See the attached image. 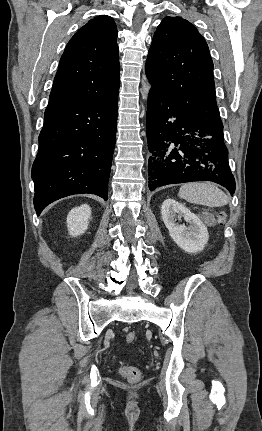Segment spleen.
Wrapping results in <instances>:
<instances>
[{"label": "spleen", "instance_id": "1", "mask_svg": "<svg viewBox=\"0 0 262 431\" xmlns=\"http://www.w3.org/2000/svg\"><path fill=\"white\" fill-rule=\"evenodd\" d=\"M178 196L187 202L209 207H222L228 204L227 195L209 182H193L181 186Z\"/></svg>", "mask_w": 262, "mask_h": 431}]
</instances>
